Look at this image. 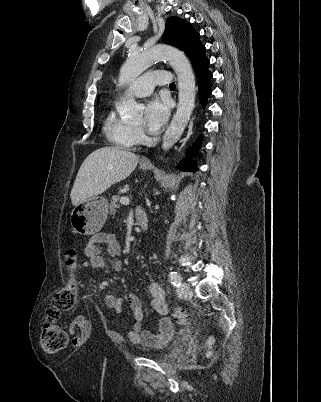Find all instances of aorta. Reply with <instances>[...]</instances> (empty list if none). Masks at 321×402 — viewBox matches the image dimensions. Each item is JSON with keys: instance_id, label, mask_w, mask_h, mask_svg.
<instances>
[{"instance_id": "1", "label": "aorta", "mask_w": 321, "mask_h": 402, "mask_svg": "<svg viewBox=\"0 0 321 402\" xmlns=\"http://www.w3.org/2000/svg\"><path fill=\"white\" fill-rule=\"evenodd\" d=\"M157 60L168 61L178 78V107L162 142L163 150L167 151L181 137L195 106V76L184 52L168 45H156L141 52L131 49L120 69L119 82L125 84L136 79ZM117 110L125 117L140 118L143 107L128 98L117 105Z\"/></svg>"}]
</instances>
